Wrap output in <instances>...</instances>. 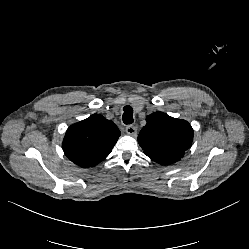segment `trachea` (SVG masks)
Segmentation results:
<instances>
[{"mask_svg":"<svg viewBox=\"0 0 249 249\" xmlns=\"http://www.w3.org/2000/svg\"><path fill=\"white\" fill-rule=\"evenodd\" d=\"M124 113L122 116L124 124H132L133 123V109L131 106L126 105L124 108Z\"/></svg>","mask_w":249,"mask_h":249,"instance_id":"obj_1","label":"trachea"}]
</instances>
